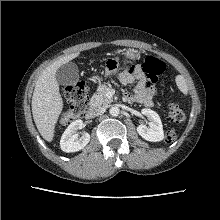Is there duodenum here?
Masks as SVG:
<instances>
[{"label":"duodenum","mask_w":220,"mask_h":220,"mask_svg":"<svg viewBox=\"0 0 220 220\" xmlns=\"http://www.w3.org/2000/svg\"><path fill=\"white\" fill-rule=\"evenodd\" d=\"M95 114H96V109L94 107H90V109L88 110V112L86 114V118L92 119V118H94Z\"/></svg>","instance_id":"1"}]
</instances>
